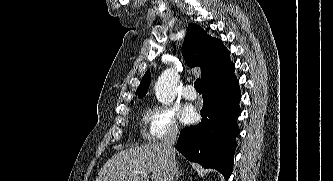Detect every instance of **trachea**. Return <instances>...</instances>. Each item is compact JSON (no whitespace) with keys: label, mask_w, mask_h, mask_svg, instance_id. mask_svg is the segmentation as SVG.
<instances>
[{"label":"trachea","mask_w":333,"mask_h":181,"mask_svg":"<svg viewBox=\"0 0 333 181\" xmlns=\"http://www.w3.org/2000/svg\"><path fill=\"white\" fill-rule=\"evenodd\" d=\"M194 87L198 92H201L200 79H197L194 83Z\"/></svg>","instance_id":"trachea-1"}]
</instances>
